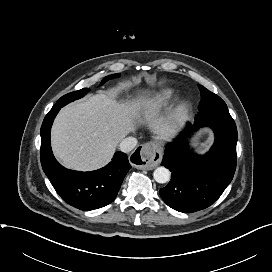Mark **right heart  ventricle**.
<instances>
[{
    "instance_id": "obj_1",
    "label": "right heart ventricle",
    "mask_w": 272,
    "mask_h": 272,
    "mask_svg": "<svg viewBox=\"0 0 272 272\" xmlns=\"http://www.w3.org/2000/svg\"><path fill=\"white\" fill-rule=\"evenodd\" d=\"M173 97L171 89H163L147 100L140 110V118L148 120L165 107Z\"/></svg>"
}]
</instances>
